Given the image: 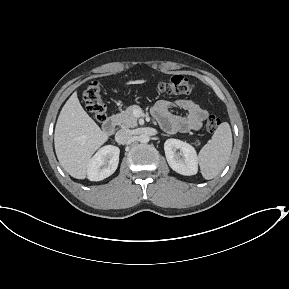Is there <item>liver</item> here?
<instances>
[{"label":"liver","instance_id":"obj_1","mask_svg":"<svg viewBox=\"0 0 289 289\" xmlns=\"http://www.w3.org/2000/svg\"><path fill=\"white\" fill-rule=\"evenodd\" d=\"M108 140L82 108L74 92L63 106L54 133L57 158L64 170L76 179H85L94 152Z\"/></svg>","mask_w":289,"mask_h":289}]
</instances>
